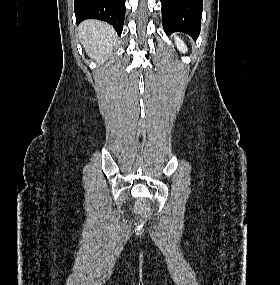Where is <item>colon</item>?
<instances>
[{
	"mask_svg": "<svg viewBox=\"0 0 280 285\" xmlns=\"http://www.w3.org/2000/svg\"><path fill=\"white\" fill-rule=\"evenodd\" d=\"M140 206L142 209L147 210L150 207V202L146 198H143L140 201Z\"/></svg>",
	"mask_w": 280,
	"mask_h": 285,
	"instance_id": "1",
	"label": "colon"
}]
</instances>
